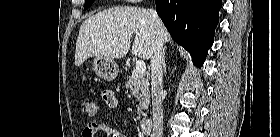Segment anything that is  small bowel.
Listing matches in <instances>:
<instances>
[{
  "label": "small bowel",
  "instance_id": "1",
  "mask_svg": "<svg viewBox=\"0 0 280 137\" xmlns=\"http://www.w3.org/2000/svg\"><path fill=\"white\" fill-rule=\"evenodd\" d=\"M111 92V91H108ZM105 100V99H104ZM106 104L110 108L117 107L116 97L113 100H105ZM99 133H105L107 137H125L124 134L111 127L106 123H89L83 130V137H92L91 135H96Z\"/></svg>",
  "mask_w": 280,
  "mask_h": 137
}]
</instances>
